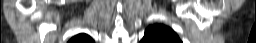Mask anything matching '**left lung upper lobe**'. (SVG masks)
Returning a JSON list of instances; mask_svg holds the SVG:
<instances>
[{
	"mask_svg": "<svg viewBox=\"0 0 256 43\" xmlns=\"http://www.w3.org/2000/svg\"><path fill=\"white\" fill-rule=\"evenodd\" d=\"M141 43H182L178 35L169 27L162 24L149 26Z\"/></svg>",
	"mask_w": 256,
	"mask_h": 43,
	"instance_id": "left-lung-upper-lobe-1",
	"label": "left lung upper lobe"
}]
</instances>
